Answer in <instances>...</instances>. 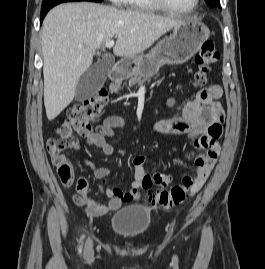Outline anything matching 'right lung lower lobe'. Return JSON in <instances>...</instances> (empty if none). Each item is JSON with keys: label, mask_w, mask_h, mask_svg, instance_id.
Masks as SVG:
<instances>
[{"label": "right lung lower lobe", "mask_w": 265, "mask_h": 269, "mask_svg": "<svg viewBox=\"0 0 265 269\" xmlns=\"http://www.w3.org/2000/svg\"><path fill=\"white\" fill-rule=\"evenodd\" d=\"M75 1H91L92 0H43L41 14H40V23H42L45 15L47 12L57 4L64 3V2H75Z\"/></svg>", "instance_id": "obj_1"}]
</instances>
